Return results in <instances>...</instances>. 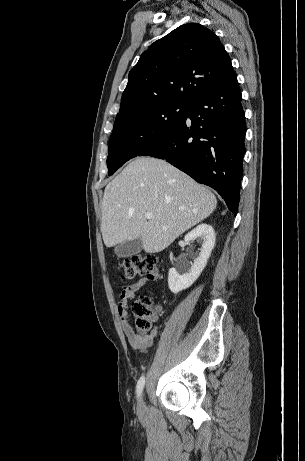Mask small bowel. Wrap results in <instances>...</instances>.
Instances as JSON below:
<instances>
[{
  "mask_svg": "<svg viewBox=\"0 0 305 461\" xmlns=\"http://www.w3.org/2000/svg\"><path fill=\"white\" fill-rule=\"evenodd\" d=\"M149 281L147 279H139L125 287L119 292V302L117 311L121 318L122 327L124 333L128 339V342L134 351L145 352L149 347L152 346L154 339L157 334V327L150 334H138L136 333L128 318V307L131 300L134 299L136 293L143 287H145ZM161 313V307L155 306L153 309V321L157 322L158 317Z\"/></svg>",
  "mask_w": 305,
  "mask_h": 461,
  "instance_id": "small-bowel-1",
  "label": "small bowel"
}]
</instances>
